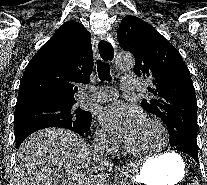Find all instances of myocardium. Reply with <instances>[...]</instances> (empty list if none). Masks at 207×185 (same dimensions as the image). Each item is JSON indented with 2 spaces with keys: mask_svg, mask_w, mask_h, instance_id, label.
<instances>
[{
  "mask_svg": "<svg viewBox=\"0 0 207 185\" xmlns=\"http://www.w3.org/2000/svg\"><path fill=\"white\" fill-rule=\"evenodd\" d=\"M144 120L157 126V128L159 129V131L163 137L164 142H167L169 140V134H168L167 128L160 119L155 118V117H146ZM123 145H124L125 150L129 154H132V155H135L138 157H152L157 154L156 150L139 151V150H135V149L131 148L127 138L124 139Z\"/></svg>",
  "mask_w": 207,
  "mask_h": 185,
  "instance_id": "1",
  "label": "myocardium"
}]
</instances>
